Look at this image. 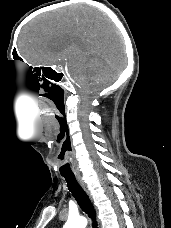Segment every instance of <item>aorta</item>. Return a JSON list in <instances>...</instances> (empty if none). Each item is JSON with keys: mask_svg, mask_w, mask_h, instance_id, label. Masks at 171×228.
<instances>
[{"mask_svg": "<svg viewBox=\"0 0 171 228\" xmlns=\"http://www.w3.org/2000/svg\"><path fill=\"white\" fill-rule=\"evenodd\" d=\"M87 220L84 217L69 218L63 228H85Z\"/></svg>", "mask_w": 171, "mask_h": 228, "instance_id": "obj_1", "label": "aorta"}]
</instances>
